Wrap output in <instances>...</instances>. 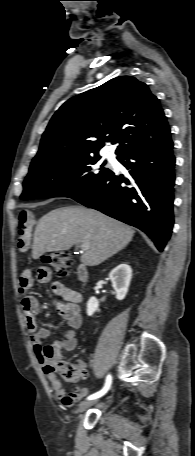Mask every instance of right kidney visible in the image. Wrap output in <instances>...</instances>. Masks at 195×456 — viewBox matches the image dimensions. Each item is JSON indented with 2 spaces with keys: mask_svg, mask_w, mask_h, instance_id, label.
<instances>
[{
  "mask_svg": "<svg viewBox=\"0 0 195 456\" xmlns=\"http://www.w3.org/2000/svg\"><path fill=\"white\" fill-rule=\"evenodd\" d=\"M132 277V269L127 264H120L109 274L112 286L116 292V299L123 300L128 292ZM99 307V302L95 297H90L87 302V315L92 316Z\"/></svg>",
  "mask_w": 195,
  "mask_h": 456,
  "instance_id": "right-kidney-1",
  "label": "right kidney"
}]
</instances>
